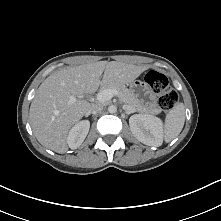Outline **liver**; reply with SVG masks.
<instances>
[{
    "label": "liver",
    "mask_w": 221,
    "mask_h": 221,
    "mask_svg": "<svg viewBox=\"0 0 221 221\" xmlns=\"http://www.w3.org/2000/svg\"><path fill=\"white\" fill-rule=\"evenodd\" d=\"M145 70L146 67L133 64L99 61L51 74L39 86L29 111L31 127L39 143L57 153H65L71 127L92 106L85 100L69 103L70 98L94 93L100 85L130 83Z\"/></svg>",
    "instance_id": "obj_1"
}]
</instances>
